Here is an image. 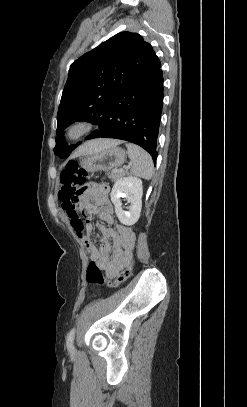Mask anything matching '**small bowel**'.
Instances as JSON below:
<instances>
[{
  "label": "small bowel",
  "instance_id": "c3829d8e",
  "mask_svg": "<svg viewBox=\"0 0 247 407\" xmlns=\"http://www.w3.org/2000/svg\"><path fill=\"white\" fill-rule=\"evenodd\" d=\"M108 195V185L90 184L85 188L82 202H62V209L91 261L96 262L109 279H113L131 262L135 235L131 228L115 222L114 208ZM94 216L103 221L99 227V248L92 239L91 220ZM110 240L114 241L113 246Z\"/></svg>",
  "mask_w": 247,
  "mask_h": 407
}]
</instances>
